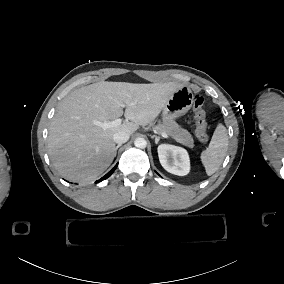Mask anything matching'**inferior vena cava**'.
<instances>
[{
    "label": "inferior vena cava",
    "mask_w": 284,
    "mask_h": 284,
    "mask_svg": "<svg viewBox=\"0 0 284 284\" xmlns=\"http://www.w3.org/2000/svg\"><path fill=\"white\" fill-rule=\"evenodd\" d=\"M129 136L126 132H117L114 134L113 140L118 144H123L129 140Z\"/></svg>",
    "instance_id": "602c4592"
}]
</instances>
